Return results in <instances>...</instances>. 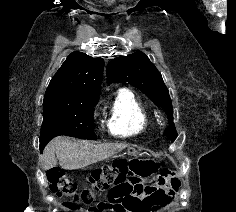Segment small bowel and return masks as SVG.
I'll return each instance as SVG.
<instances>
[{"label":"small bowel","instance_id":"obj_1","mask_svg":"<svg viewBox=\"0 0 236 212\" xmlns=\"http://www.w3.org/2000/svg\"><path fill=\"white\" fill-rule=\"evenodd\" d=\"M120 175L114 180V187L108 190V197L100 199L102 205H94L89 212H157L167 205L175 195L178 184L173 181V173L162 169L157 175Z\"/></svg>","mask_w":236,"mask_h":212}]
</instances>
